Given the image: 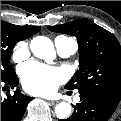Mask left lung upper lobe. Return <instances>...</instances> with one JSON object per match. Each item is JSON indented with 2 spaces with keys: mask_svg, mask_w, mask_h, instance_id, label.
<instances>
[{
  "mask_svg": "<svg viewBox=\"0 0 121 121\" xmlns=\"http://www.w3.org/2000/svg\"><path fill=\"white\" fill-rule=\"evenodd\" d=\"M48 29L76 36L79 70L65 88L98 93L118 104L121 96V47L116 37L89 19H79Z\"/></svg>",
  "mask_w": 121,
  "mask_h": 121,
  "instance_id": "5c2ea615",
  "label": "left lung upper lobe"
}]
</instances>
